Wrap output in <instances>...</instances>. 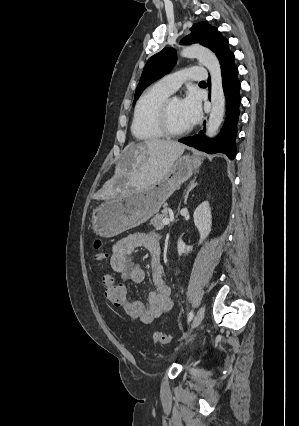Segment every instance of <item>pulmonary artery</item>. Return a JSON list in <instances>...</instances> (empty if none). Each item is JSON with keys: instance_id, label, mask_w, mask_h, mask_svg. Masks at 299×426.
<instances>
[{"instance_id": "pulmonary-artery-1", "label": "pulmonary artery", "mask_w": 299, "mask_h": 426, "mask_svg": "<svg viewBox=\"0 0 299 426\" xmlns=\"http://www.w3.org/2000/svg\"><path fill=\"white\" fill-rule=\"evenodd\" d=\"M205 78L206 70L203 67L192 66L168 74L162 77L158 83H160L166 90L173 93L187 80L200 81Z\"/></svg>"}]
</instances>
